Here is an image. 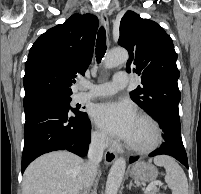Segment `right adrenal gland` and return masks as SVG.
<instances>
[{
  "label": "right adrenal gland",
  "instance_id": "obj_1",
  "mask_svg": "<svg viewBox=\"0 0 201 194\" xmlns=\"http://www.w3.org/2000/svg\"><path fill=\"white\" fill-rule=\"evenodd\" d=\"M79 194H89L87 190L80 192Z\"/></svg>",
  "mask_w": 201,
  "mask_h": 194
}]
</instances>
